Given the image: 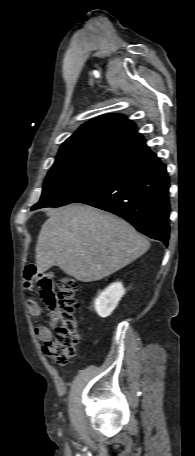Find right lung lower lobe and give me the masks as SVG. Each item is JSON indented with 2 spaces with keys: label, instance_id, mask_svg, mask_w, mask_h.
Segmentation results:
<instances>
[{
  "label": "right lung lower lobe",
  "instance_id": "obj_1",
  "mask_svg": "<svg viewBox=\"0 0 195 456\" xmlns=\"http://www.w3.org/2000/svg\"><path fill=\"white\" fill-rule=\"evenodd\" d=\"M169 183L165 164L153 153L127 166L108 183L75 203L116 214L141 233L167 245Z\"/></svg>",
  "mask_w": 195,
  "mask_h": 456
}]
</instances>
